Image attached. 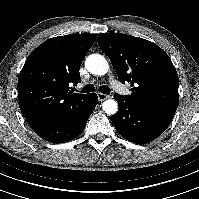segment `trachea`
Masks as SVG:
<instances>
[{
    "label": "trachea",
    "instance_id": "1",
    "mask_svg": "<svg viewBox=\"0 0 199 199\" xmlns=\"http://www.w3.org/2000/svg\"><path fill=\"white\" fill-rule=\"evenodd\" d=\"M99 92L103 93V94H110V88L106 85H102L99 87ZM95 91V87L92 84H88L86 86L83 87L82 89V93H89V92H93Z\"/></svg>",
    "mask_w": 199,
    "mask_h": 199
}]
</instances>
